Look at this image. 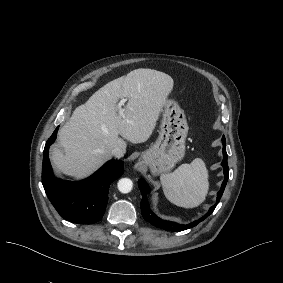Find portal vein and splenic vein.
<instances>
[{
  "label": "portal vein and splenic vein",
  "instance_id": "portal-vein-and-splenic-vein-1",
  "mask_svg": "<svg viewBox=\"0 0 283 283\" xmlns=\"http://www.w3.org/2000/svg\"><path fill=\"white\" fill-rule=\"evenodd\" d=\"M125 103V99H122L119 101V103L116 104V110L118 112V118L119 119H123L126 120L127 122H129V119L126 117L125 115V109L123 108V105Z\"/></svg>",
  "mask_w": 283,
  "mask_h": 283
}]
</instances>
